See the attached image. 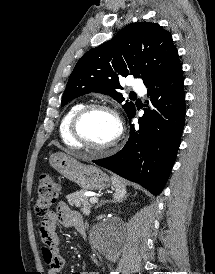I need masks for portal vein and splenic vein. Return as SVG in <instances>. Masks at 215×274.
Returning <instances> with one entry per match:
<instances>
[{
  "instance_id": "18ae733b",
  "label": "portal vein and splenic vein",
  "mask_w": 215,
  "mask_h": 274,
  "mask_svg": "<svg viewBox=\"0 0 215 274\" xmlns=\"http://www.w3.org/2000/svg\"><path fill=\"white\" fill-rule=\"evenodd\" d=\"M89 201H90V203L95 204V203L98 202V198L97 197H91Z\"/></svg>"
}]
</instances>
